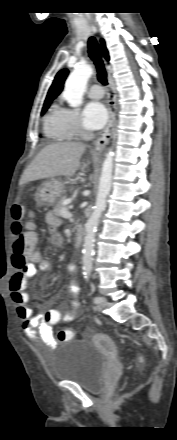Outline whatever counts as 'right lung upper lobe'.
<instances>
[{
    "label": "right lung upper lobe",
    "instance_id": "1",
    "mask_svg": "<svg viewBox=\"0 0 177 440\" xmlns=\"http://www.w3.org/2000/svg\"><path fill=\"white\" fill-rule=\"evenodd\" d=\"M101 49H102L103 56L108 60L109 54H108V51L106 49L105 42L103 39H101ZM67 75H68L67 69H63L57 73V75L55 76V79L53 81V84L51 85V87L48 91L45 103H47V102L51 103L61 93V91L63 89L64 81H65Z\"/></svg>",
    "mask_w": 177,
    "mask_h": 440
}]
</instances>
